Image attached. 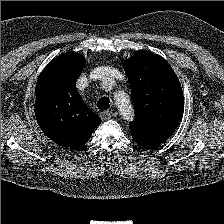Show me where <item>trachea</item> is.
Wrapping results in <instances>:
<instances>
[{
    "label": "trachea",
    "instance_id": "1",
    "mask_svg": "<svg viewBox=\"0 0 224 224\" xmlns=\"http://www.w3.org/2000/svg\"><path fill=\"white\" fill-rule=\"evenodd\" d=\"M110 100L107 97H103L101 98L98 103H97V107L101 110H105L110 106Z\"/></svg>",
    "mask_w": 224,
    "mask_h": 224
}]
</instances>
